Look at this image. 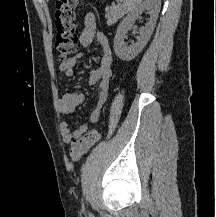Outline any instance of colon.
Here are the masks:
<instances>
[{
  "label": "colon",
  "instance_id": "5ec220e1",
  "mask_svg": "<svg viewBox=\"0 0 216 217\" xmlns=\"http://www.w3.org/2000/svg\"><path fill=\"white\" fill-rule=\"evenodd\" d=\"M79 0H57L55 3V25L57 30L55 49L61 62L68 61L76 51L78 37L74 8ZM100 139V131L96 128L89 130L71 144L69 157L77 162Z\"/></svg>",
  "mask_w": 216,
  "mask_h": 217
}]
</instances>
